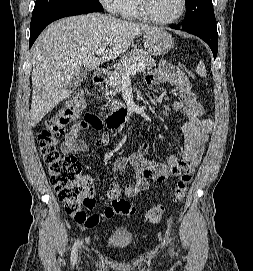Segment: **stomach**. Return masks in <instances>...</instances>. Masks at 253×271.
Wrapping results in <instances>:
<instances>
[{"label":"stomach","mask_w":253,"mask_h":271,"mask_svg":"<svg viewBox=\"0 0 253 271\" xmlns=\"http://www.w3.org/2000/svg\"><path fill=\"white\" fill-rule=\"evenodd\" d=\"M143 43L148 53L153 56H161L168 53L174 46V39L164 29L157 28L144 34Z\"/></svg>","instance_id":"stomach-1"}]
</instances>
